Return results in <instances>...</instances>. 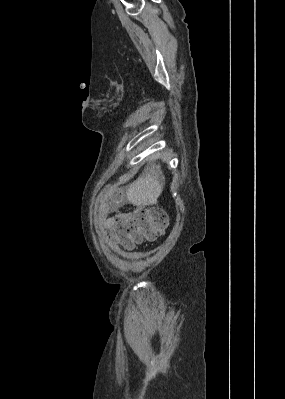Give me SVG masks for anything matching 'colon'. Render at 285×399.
<instances>
[{
	"instance_id": "colon-1",
	"label": "colon",
	"mask_w": 285,
	"mask_h": 399,
	"mask_svg": "<svg viewBox=\"0 0 285 399\" xmlns=\"http://www.w3.org/2000/svg\"><path fill=\"white\" fill-rule=\"evenodd\" d=\"M115 197H105L100 204L102 219L110 223L108 232L122 250L133 248L141 239L163 233L168 228L165 212L159 208H142L116 213Z\"/></svg>"
}]
</instances>
